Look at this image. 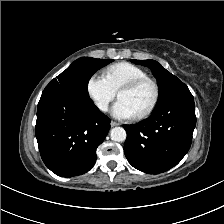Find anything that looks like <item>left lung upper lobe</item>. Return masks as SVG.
<instances>
[{
  "instance_id": "left-lung-upper-lobe-1",
  "label": "left lung upper lobe",
  "mask_w": 224,
  "mask_h": 224,
  "mask_svg": "<svg viewBox=\"0 0 224 224\" xmlns=\"http://www.w3.org/2000/svg\"><path fill=\"white\" fill-rule=\"evenodd\" d=\"M132 62L149 67L157 79L160 87V98L156 108L169 103L180 95L190 93L188 87L183 82L163 68L158 62L154 60H132Z\"/></svg>"
}]
</instances>
